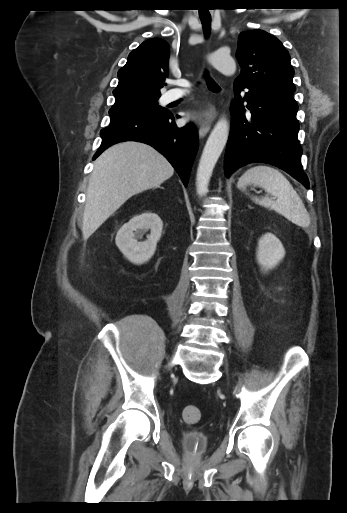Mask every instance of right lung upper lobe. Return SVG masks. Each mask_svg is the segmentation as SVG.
<instances>
[{"mask_svg": "<svg viewBox=\"0 0 347 513\" xmlns=\"http://www.w3.org/2000/svg\"><path fill=\"white\" fill-rule=\"evenodd\" d=\"M169 45L165 40L152 38L133 50L126 65L118 71L119 83L113 91L119 105L143 98H159L167 77Z\"/></svg>", "mask_w": 347, "mask_h": 513, "instance_id": "right-lung-upper-lobe-1", "label": "right lung upper lobe"}]
</instances>
